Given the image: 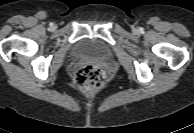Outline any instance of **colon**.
<instances>
[{
    "instance_id": "colon-1",
    "label": "colon",
    "mask_w": 194,
    "mask_h": 133,
    "mask_svg": "<svg viewBox=\"0 0 194 133\" xmlns=\"http://www.w3.org/2000/svg\"><path fill=\"white\" fill-rule=\"evenodd\" d=\"M105 80V71L95 65L81 66L74 74L75 85L84 93H90L100 89L104 85Z\"/></svg>"
}]
</instances>
